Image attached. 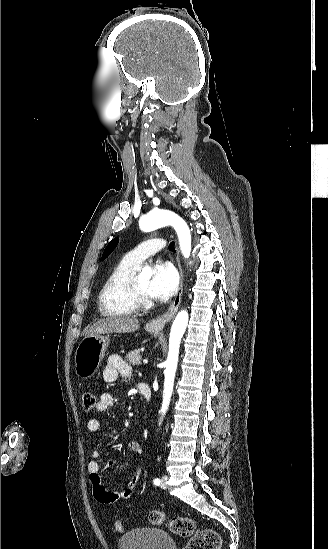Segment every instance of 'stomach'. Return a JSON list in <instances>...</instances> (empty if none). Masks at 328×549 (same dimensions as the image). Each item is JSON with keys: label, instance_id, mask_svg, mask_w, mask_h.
Wrapping results in <instances>:
<instances>
[{"label": "stomach", "instance_id": "1", "mask_svg": "<svg viewBox=\"0 0 328 549\" xmlns=\"http://www.w3.org/2000/svg\"><path fill=\"white\" fill-rule=\"evenodd\" d=\"M145 331L148 333H157V327L147 325ZM109 335H93V337H84L79 343L75 353V371L80 379H91L97 369L100 367L102 359L109 347Z\"/></svg>", "mask_w": 328, "mask_h": 549}]
</instances>
